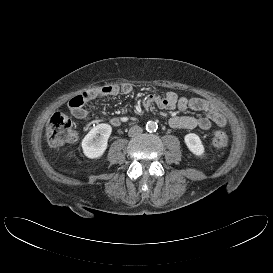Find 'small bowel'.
I'll return each instance as SVG.
<instances>
[{
  "instance_id": "small-bowel-1",
  "label": "small bowel",
  "mask_w": 273,
  "mask_h": 273,
  "mask_svg": "<svg viewBox=\"0 0 273 273\" xmlns=\"http://www.w3.org/2000/svg\"><path fill=\"white\" fill-rule=\"evenodd\" d=\"M133 91V85L125 83L121 86L111 85L105 86L101 89L91 91L88 93L82 103V105L75 107L72 102H69V109L71 114L79 119L84 120L88 116L86 105L98 98L102 97H113L119 93L129 94ZM143 106L146 110L153 106H157L160 109L173 110L177 108L181 112L188 110L202 112L203 115L199 117L188 116V115H175L169 119V125L176 129H193L199 127L203 130L211 128L212 124L224 127L226 125V119L222 111L212 102L203 98H186L178 97L174 92H167L163 97L158 95H148ZM120 122L119 118H115L112 123L114 125Z\"/></svg>"
}]
</instances>
